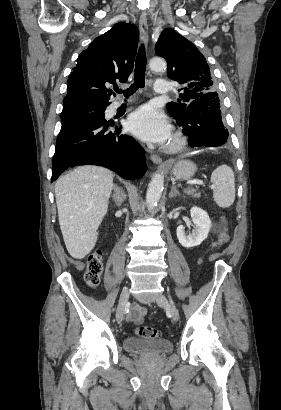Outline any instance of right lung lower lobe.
<instances>
[{"instance_id":"1","label":"right lung lower lobe","mask_w":281,"mask_h":410,"mask_svg":"<svg viewBox=\"0 0 281 410\" xmlns=\"http://www.w3.org/2000/svg\"><path fill=\"white\" fill-rule=\"evenodd\" d=\"M113 121L90 120L80 123L57 138L51 181L67 168L95 164L115 171L126 179H137L147 170L145 151L132 137L110 131Z\"/></svg>"}]
</instances>
